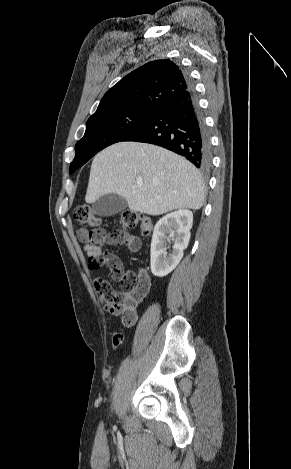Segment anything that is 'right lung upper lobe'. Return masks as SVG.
Instances as JSON below:
<instances>
[{
  "label": "right lung upper lobe",
  "mask_w": 291,
  "mask_h": 469,
  "mask_svg": "<svg viewBox=\"0 0 291 469\" xmlns=\"http://www.w3.org/2000/svg\"><path fill=\"white\" fill-rule=\"evenodd\" d=\"M187 88V76L175 63L171 60L152 61L107 91L89 119L131 109L155 110L165 100Z\"/></svg>",
  "instance_id": "cb5924a9"
}]
</instances>
